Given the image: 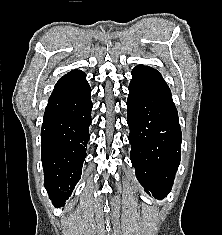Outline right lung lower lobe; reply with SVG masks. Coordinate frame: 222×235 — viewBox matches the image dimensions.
Segmentation results:
<instances>
[{
  "mask_svg": "<svg viewBox=\"0 0 222 235\" xmlns=\"http://www.w3.org/2000/svg\"><path fill=\"white\" fill-rule=\"evenodd\" d=\"M91 110L86 74L77 70L60 78L48 100L41 130L44 186L55 207L65 205L81 177Z\"/></svg>",
  "mask_w": 222,
  "mask_h": 235,
  "instance_id": "right-lung-lower-lobe-1",
  "label": "right lung lower lobe"
}]
</instances>
